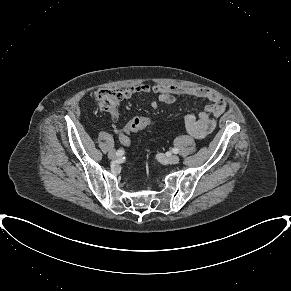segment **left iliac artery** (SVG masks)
<instances>
[{
    "label": "left iliac artery",
    "instance_id": "obj_1",
    "mask_svg": "<svg viewBox=\"0 0 291 291\" xmlns=\"http://www.w3.org/2000/svg\"><path fill=\"white\" fill-rule=\"evenodd\" d=\"M172 152L175 153V154H177L179 152V150L177 148H173L172 149Z\"/></svg>",
    "mask_w": 291,
    "mask_h": 291
}]
</instances>
